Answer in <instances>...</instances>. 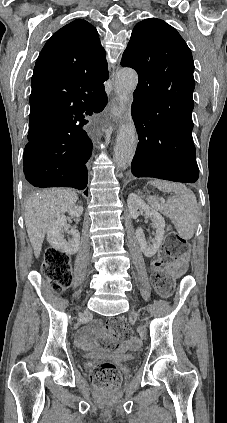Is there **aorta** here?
<instances>
[{
    "instance_id": "obj_1",
    "label": "aorta",
    "mask_w": 227,
    "mask_h": 423,
    "mask_svg": "<svg viewBox=\"0 0 227 423\" xmlns=\"http://www.w3.org/2000/svg\"><path fill=\"white\" fill-rule=\"evenodd\" d=\"M137 84L138 75L133 69L125 68L117 72L114 85L122 123L114 147L113 160L120 169H126L131 164L137 147L136 129L130 112L132 94Z\"/></svg>"
}]
</instances>
